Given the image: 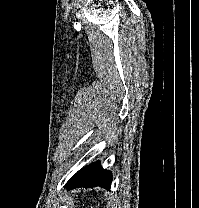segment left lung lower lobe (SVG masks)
<instances>
[{
	"mask_svg": "<svg viewBox=\"0 0 199 208\" xmlns=\"http://www.w3.org/2000/svg\"><path fill=\"white\" fill-rule=\"evenodd\" d=\"M112 182V173L104 170L100 162L92 163L78 171L65 185L67 189L79 187L89 188L100 186L109 189Z\"/></svg>",
	"mask_w": 199,
	"mask_h": 208,
	"instance_id": "1",
	"label": "left lung lower lobe"
}]
</instances>
